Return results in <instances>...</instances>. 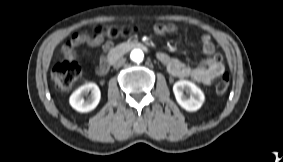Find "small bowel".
Masks as SVG:
<instances>
[{"instance_id": "small-bowel-1", "label": "small bowel", "mask_w": 283, "mask_h": 162, "mask_svg": "<svg viewBox=\"0 0 283 162\" xmlns=\"http://www.w3.org/2000/svg\"><path fill=\"white\" fill-rule=\"evenodd\" d=\"M156 35H163L174 33L176 26L174 24H157L153 29ZM202 48L205 54L208 55L201 61L200 65L192 67L178 59L172 58L164 52L158 53L159 61L164 64L168 72L179 78H191L196 82L210 85L218 76L224 72V65L221 57L215 54V45L212 38L204 34L201 36ZM80 45H87L89 47L103 46L101 50V57L99 58V65L96 68V75L98 77H107L110 71L109 59L110 50L115 49V44L106 41L103 36H91L87 33H75L62 47V53L67 61L76 62L77 56L75 49Z\"/></svg>"}]
</instances>
